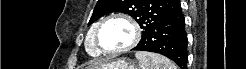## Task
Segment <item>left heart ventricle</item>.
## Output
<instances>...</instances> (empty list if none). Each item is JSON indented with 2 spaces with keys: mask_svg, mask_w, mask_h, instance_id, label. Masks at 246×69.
<instances>
[{
  "mask_svg": "<svg viewBox=\"0 0 246 69\" xmlns=\"http://www.w3.org/2000/svg\"><path fill=\"white\" fill-rule=\"evenodd\" d=\"M132 37V28L120 19L110 20L99 33L100 42L107 49L122 48L131 41Z\"/></svg>",
  "mask_w": 246,
  "mask_h": 69,
  "instance_id": "obj_1",
  "label": "left heart ventricle"
}]
</instances>
